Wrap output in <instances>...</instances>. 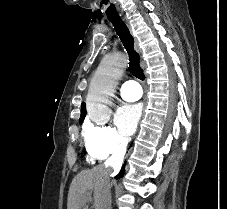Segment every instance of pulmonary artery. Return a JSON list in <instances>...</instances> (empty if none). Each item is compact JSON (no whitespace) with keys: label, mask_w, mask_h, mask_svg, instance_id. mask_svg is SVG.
<instances>
[{"label":"pulmonary artery","mask_w":227,"mask_h":209,"mask_svg":"<svg viewBox=\"0 0 227 209\" xmlns=\"http://www.w3.org/2000/svg\"><path fill=\"white\" fill-rule=\"evenodd\" d=\"M119 94L125 101H135L140 98L142 89L139 88V84H122L119 89Z\"/></svg>","instance_id":"1"}]
</instances>
